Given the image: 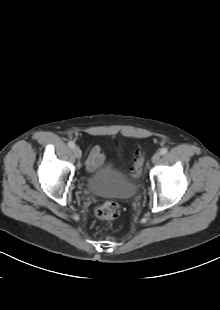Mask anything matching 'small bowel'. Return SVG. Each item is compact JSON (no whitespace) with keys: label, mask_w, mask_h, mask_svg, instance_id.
I'll return each instance as SVG.
<instances>
[{"label":"small bowel","mask_w":220,"mask_h":310,"mask_svg":"<svg viewBox=\"0 0 220 310\" xmlns=\"http://www.w3.org/2000/svg\"><path fill=\"white\" fill-rule=\"evenodd\" d=\"M105 160V155L99 146L93 147L87 157L86 167L89 172L96 171Z\"/></svg>","instance_id":"small-bowel-1"}]
</instances>
